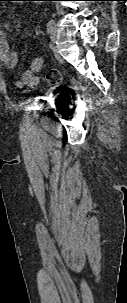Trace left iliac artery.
<instances>
[{
	"label": "left iliac artery",
	"instance_id": "44dca946",
	"mask_svg": "<svg viewBox=\"0 0 127 303\" xmlns=\"http://www.w3.org/2000/svg\"><path fill=\"white\" fill-rule=\"evenodd\" d=\"M56 27V22L54 19H51L47 24V32L50 33Z\"/></svg>",
	"mask_w": 127,
	"mask_h": 303
}]
</instances>
